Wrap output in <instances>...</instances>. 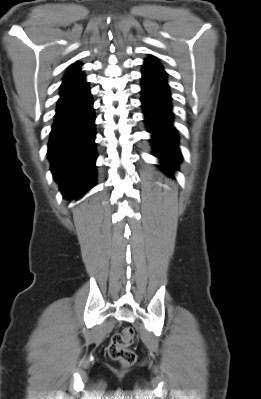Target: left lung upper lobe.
<instances>
[{
	"mask_svg": "<svg viewBox=\"0 0 261 399\" xmlns=\"http://www.w3.org/2000/svg\"><path fill=\"white\" fill-rule=\"evenodd\" d=\"M146 61H154V60H152V59L148 58V59H146Z\"/></svg>",
	"mask_w": 261,
	"mask_h": 399,
	"instance_id": "1",
	"label": "left lung upper lobe"
}]
</instances>
